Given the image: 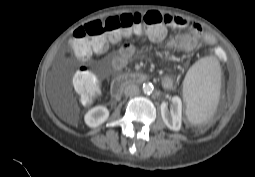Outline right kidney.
I'll return each mask as SVG.
<instances>
[{"label":"right kidney","instance_id":"1","mask_svg":"<svg viewBox=\"0 0 255 177\" xmlns=\"http://www.w3.org/2000/svg\"><path fill=\"white\" fill-rule=\"evenodd\" d=\"M108 117L109 111L105 106H96L85 114L84 120L89 127L95 128L103 124Z\"/></svg>","mask_w":255,"mask_h":177}]
</instances>
